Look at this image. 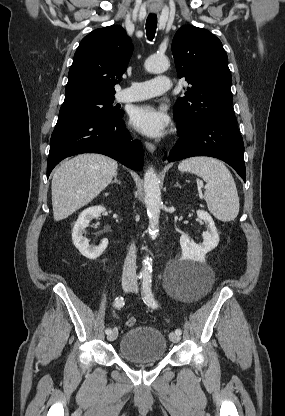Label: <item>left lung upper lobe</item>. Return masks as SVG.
<instances>
[{"label": "left lung upper lobe", "mask_w": 285, "mask_h": 416, "mask_svg": "<svg viewBox=\"0 0 285 416\" xmlns=\"http://www.w3.org/2000/svg\"><path fill=\"white\" fill-rule=\"evenodd\" d=\"M172 53L179 78L185 77L190 85L175 103L178 129L210 118L234 117L232 77L221 41L206 29L184 25L173 38Z\"/></svg>", "instance_id": "obj_1"}]
</instances>
